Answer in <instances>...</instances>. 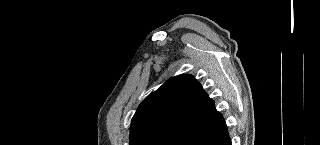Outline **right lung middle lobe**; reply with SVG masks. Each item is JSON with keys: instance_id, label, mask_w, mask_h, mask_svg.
Segmentation results:
<instances>
[{"instance_id": "dd1d6c3e", "label": "right lung middle lobe", "mask_w": 320, "mask_h": 145, "mask_svg": "<svg viewBox=\"0 0 320 145\" xmlns=\"http://www.w3.org/2000/svg\"><path fill=\"white\" fill-rule=\"evenodd\" d=\"M175 135L176 133L173 132L155 134L144 139L138 145H167Z\"/></svg>"}]
</instances>
